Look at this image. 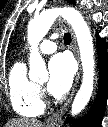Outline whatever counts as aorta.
Segmentation results:
<instances>
[{
    "label": "aorta",
    "instance_id": "1",
    "mask_svg": "<svg viewBox=\"0 0 108 127\" xmlns=\"http://www.w3.org/2000/svg\"><path fill=\"white\" fill-rule=\"evenodd\" d=\"M58 16H62L73 28L80 51L83 68L82 84L73 101L71 114L80 113L90 100L94 84V48L90 29L81 13L71 7L51 8L33 18L27 29L30 48L29 78L31 80L47 79L45 63L38 52V44L47 34Z\"/></svg>",
    "mask_w": 108,
    "mask_h": 127
}]
</instances>
